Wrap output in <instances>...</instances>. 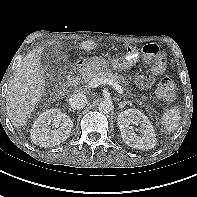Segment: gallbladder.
<instances>
[{"mask_svg": "<svg viewBox=\"0 0 197 197\" xmlns=\"http://www.w3.org/2000/svg\"><path fill=\"white\" fill-rule=\"evenodd\" d=\"M50 51L54 52V50H50L48 48H45L41 53V63L43 64L44 67H46L48 69L53 62L51 60L52 59V52H50ZM51 72H52V70H50L49 73L52 74Z\"/></svg>", "mask_w": 197, "mask_h": 197, "instance_id": "1", "label": "gallbladder"}]
</instances>
